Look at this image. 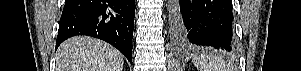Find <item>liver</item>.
Listing matches in <instances>:
<instances>
[{
    "instance_id": "liver-1",
    "label": "liver",
    "mask_w": 301,
    "mask_h": 71,
    "mask_svg": "<svg viewBox=\"0 0 301 71\" xmlns=\"http://www.w3.org/2000/svg\"><path fill=\"white\" fill-rule=\"evenodd\" d=\"M56 58V71H122L124 62V56L113 46L86 36L63 42Z\"/></svg>"
}]
</instances>
